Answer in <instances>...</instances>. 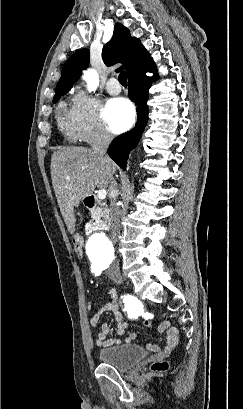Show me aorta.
<instances>
[{"label":"aorta","mask_w":243,"mask_h":409,"mask_svg":"<svg viewBox=\"0 0 243 409\" xmlns=\"http://www.w3.org/2000/svg\"><path fill=\"white\" fill-rule=\"evenodd\" d=\"M83 78L87 83L88 90L95 91L99 85V76L96 70L88 69L84 72ZM110 241L102 232H94L87 242V253L89 258L93 261L99 262L108 253L110 248Z\"/></svg>","instance_id":"1"}]
</instances>
